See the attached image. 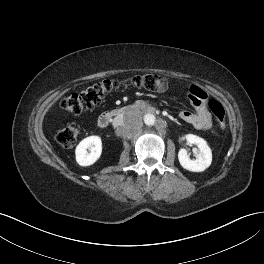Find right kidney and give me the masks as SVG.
Segmentation results:
<instances>
[{
	"instance_id": "right-kidney-1",
	"label": "right kidney",
	"mask_w": 264,
	"mask_h": 264,
	"mask_svg": "<svg viewBox=\"0 0 264 264\" xmlns=\"http://www.w3.org/2000/svg\"><path fill=\"white\" fill-rule=\"evenodd\" d=\"M101 153V138L99 136H89L77 145L75 150L76 162L83 167L90 166L100 158Z\"/></svg>"
}]
</instances>
